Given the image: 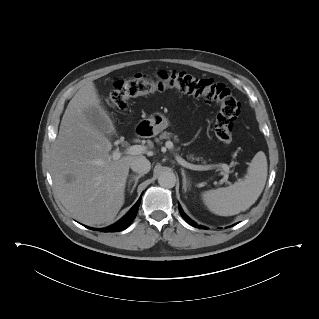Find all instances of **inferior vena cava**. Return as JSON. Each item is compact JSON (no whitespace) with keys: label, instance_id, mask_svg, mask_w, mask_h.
<instances>
[{"label":"inferior vena cava","instance_id":"602c4592","mask_svg":"<svg viewBox=\"0 0 319 319\" xmlns=\"http://www.w3.org/2000/svg\"><path fill=\"white\" fill-rule=\"evenodd\" d=\"M131 169L139 174H146L151 169V164L144 156L135 158L131 164Z\"/></svg>","mask_w":319,"mask_h":319}]
</instances>
